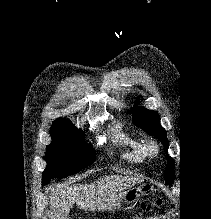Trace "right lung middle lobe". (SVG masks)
Wrapping results in <instances>:
<instances>
[{
  "label": "right lung middle lobe",
  "mask_w": 211,
  "mask_h": 219,
  "mask_svg": "<svg viewBox=\"0 0 211 219\" xmlns=\"http://www.w3.org/2000/svg\"><path fill=\"white\" fill-rule=\"evenodd\" d=\"M52 143L47 146V167L42 185L53 178L66 177L95 161L94 149L84 143V133L68 120H56L51 127Z\"/></svg>",
  "instance_id": "dd1d6c3e"
}]
</instances>
